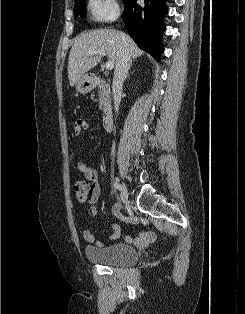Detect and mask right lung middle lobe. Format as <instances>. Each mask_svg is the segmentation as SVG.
<instances>
[{
    "label": "right lung middle lobe",
    "instance_id": "right-lung-middle-lobe-1",
    "mask_svg": "<svg viewBox=\"0 0 245 314\" xmlns=\"http://www.w3.org/2000/svg\"><path fill=\"white\" fill-rule=\"evenodd\" d=\"M78 1V0H76ZM127 2V0H124V4ZM85 3L86 0H80L74 7V14L75 16L80 15L81 17L85 16L86 10H85Z\"/></svg>",
    "mask_w": 245,
    "mask_h": 314
}]
</instances>
